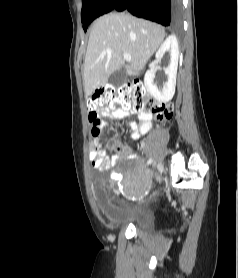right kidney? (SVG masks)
I'll list each match as a JSON object with an SVG mask.
<instances>
[{"label": "right kidney", "instance_id": "1", "mask_svg": "<svg viewBox=\"0 0 238 278\" xmlns=\"http://www.w3.org/2000/svg\"><path fill=\"white\" fill-rule=\"evenodd\" d=\"M166 51H170V65L164 70L168 76L167 82L159 89L154 84L155 73L157 67H152L146 72L144 77V84L147 91L159 102H168L172 99L175 93L176 74L179 58L178 41L175 36H169L156 52V59L160 60Z\"/></svg>", "mask_w": 238, "mask_h": 278}]
</instances>
